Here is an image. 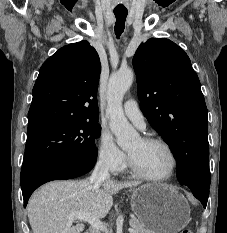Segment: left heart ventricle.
<instances>
[{
	"label": "left heart ventricle",
	"instance_id": "1",
	"mask_svg": "<svg viewBox=\"0 0 227 233\" xmlns=\"http://www.w3.org/2000/svg\"><path fill=\"white\" fill-rule=\"evenodd\" d=\"M127 151L136 165L149 175L163 176L171 169V157L168 151L159 144H146L138 139L130 145Z\"/></svg>",
	"mask_w": 227,
	"mask_h": 233
}]
</instances>
